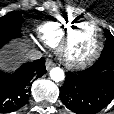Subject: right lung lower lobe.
<instances>
[{"instance_id":"1","label":"right lung lower lobe","mask_w":114,"mask_h":114,"mask_svg":"<svg viewBox=\"0 0 114 114\" xmlns=\"http://www.w3.org/2000/svg\"><path fill=\"white\" fill-rule=\"evenodd\" d=\"M9 40L0 39V48ZM46 73L45 59L28 62L12 74L0 71V113L22 108L30 96V85Z\"/></svg>"}]
</instances>
